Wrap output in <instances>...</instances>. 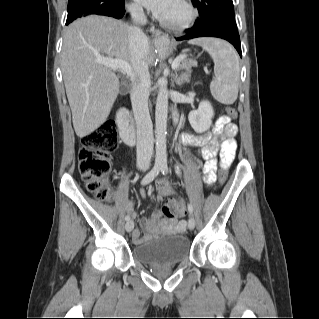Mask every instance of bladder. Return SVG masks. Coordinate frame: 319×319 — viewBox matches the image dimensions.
Masks as SVG:
<instances>
[{
    "mask_svg": "<svg viewBox=\"0 0 319 319\" xmlns=\"http://www.w3.org/2000/svg\"><path fill=\"white\" fill-rule=\"evenodd\" d=\"M191 243L185 236L174 234L144 240L134 247V256L146 265L178 264L188 257Z\"/></svg>",
    "mask_w": 319,
    "mask_h": 319,
    "instance_id": "bladder-1",
    "label": "bladder"
}]
</instances>
